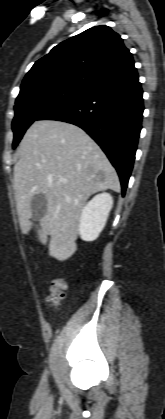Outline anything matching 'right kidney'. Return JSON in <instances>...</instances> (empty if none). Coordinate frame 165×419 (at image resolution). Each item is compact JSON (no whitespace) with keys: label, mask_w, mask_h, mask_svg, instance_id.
I'll list each match as a JSON object with an SVG mask.
<instances>
[{"label":"right kidney","mask_w":165,"mask_h":419,"mask_svg":"<svg viewBox=\"0 0 165 419\" xmlns=\"http://www.w3.org/2000/svg\"><path fill=\"white\" fill-rule=\"evenodd\" d=\"M113 206V198L101 193L90 200L82 209L79 220V234L84 241H94L103 230Z\"/></svg>","instance_id":"1"}]
</instances>
